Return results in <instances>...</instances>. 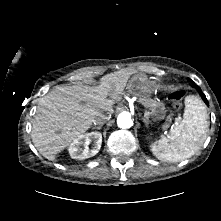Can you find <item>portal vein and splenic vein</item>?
Wrapping results in <instances>:
<instances>
[{
	"label": "portal vein and splenic vein",
	"instance_id": "portal-vein-and-splenic-vein-1",
	"mask_svg": "<svg viewBox=\"0 0 221 221\" xmlns=\"http://www.w3.org/2000/svg\"><path fill=\"white\" fill-rule=\"evenodd\" d=\"M144 116H145L146 118H148V117L150 116V112H148V111H145V114H144Z\"/></svg>",
	"mask_w": 221,
	"mask_h": 221
}]
</instances>
